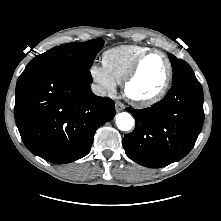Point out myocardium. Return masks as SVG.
I'll use <instances>...</instances> for the list:
<instances>
[{
	"instance_id": "1",
	"label": "myocardium",
	"mask_w": 221,
	"mask_h": 221,
	"mask_svg": "<svg viewBox=\"0 0 221 221\" xmlns=\"http://www.w3.org/2000/svg\"><path fill=\"white\" fill-rule=\"evenodd\" d=\"M152 54H160L165 59V62L167 64V73H166L164 83H163L162 87L160 88V90L151 96H148V97L133 96L129 91V87H130L131 83L133 82V80L135 79V77L137 76L143 61L148 56H150ZM172 76H173V64H172L171 59L167 55V53H165L164 51L159 50V49H149V50L145 51L144 53H142L135 60V62L133 63V65L129 69L128 73L126 74V76L123 80V83H122L124 95L129 101H131L132 103H134L137 106L146 107V106L153 105V104L159 102L160 100H162L166 96V94L170 88Z\"/></svg>"
}]
</instances>
